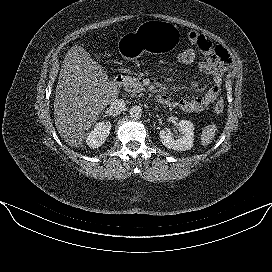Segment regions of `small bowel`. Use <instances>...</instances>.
Returning a JSON list of instances; mask_svg holds the SVG:
<instances>
[{"mask_svg":"<svg viewBox=\"0 0 272 272\" xmlns=\"http://www.w3.org/2000/svg\"><path fill=\"white\" fill-rule=\"evenodd\" d=\"M188 39L203 55L199 63V70L204 74L212 76V85L200 96L179 100L169 97L171 100L169 106L178 107L182 111L190 113L204 110L218 98L221 83L231 58L226 49L213 44L202 34L191 32L188 35Z\"/></svg>","mask_w":272,"mask_h":272,"instance_id":"obj_1","label":"small bowel"}]
</instances>
